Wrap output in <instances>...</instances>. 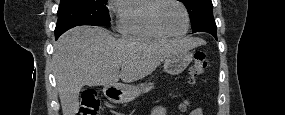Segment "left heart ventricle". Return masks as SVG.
I'll use <instances>...</instances> for the list:
<instances>
[{
  "instance_id": "b2bd125f",
  "label": "left heart ventricle",
  "mask_w": 285,
  "mask_h": 115,
  "mask_svg": "<svg viewBox=\"0 0 285 115\" xmlns=\"http://www.w3.org/2000/svg\"><path fill=\"white\" fill-rule=\"evenodd\" d=\"M158 19L161 25L171 33H180L186 26L182 8L171 1L161 4L158 10Z\"/></svg>"
}]
</instances>
